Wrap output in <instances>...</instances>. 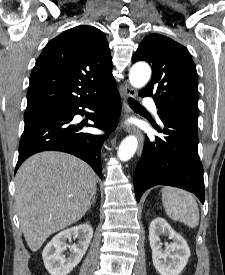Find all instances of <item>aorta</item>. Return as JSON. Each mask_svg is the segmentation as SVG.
<instances>
[{
	"mask_svg": "<svg viewBox=\"0 0 225 275\" xmlns=\"http://www.w3.org/2000/svg\"><path fill=\"white\" fill-rule=\"evenodd\" d=\"M151 77V68L146 63H136L129 71L130 84L135 88H141L147 84ZM138 146V140L131 135L120 144L117 155L121 161H128L133 157Z\"/></svg>",
	"mask_w": 225,
	"mask_h": 275,
	"instance_id": "obj_1",
	"label": "aorta"
}]
</instances>
